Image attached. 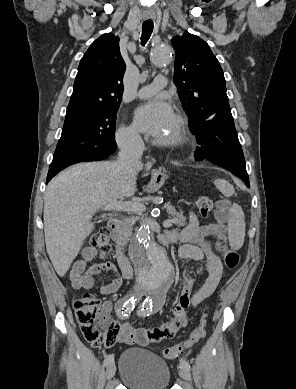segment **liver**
<instances>
[{
	"label": "liver",
	"instance_id": "1",
	"mask_svg": "<svg viewBox=\"0 0 296 389\" xmlns=\"http://www.w3.org/2000/svg\"><path fill=\"white\" fill-rule=\"evenodd\" d=\"M143 164L126 168L118 161L76 164L56 176L44 197L46 250L60 277L69 270L83 241L94 229V212L111 201L131 197Z\"/></svg>",
	"mask_w": 296,
	"mask_h": 389
}]
</instances>
